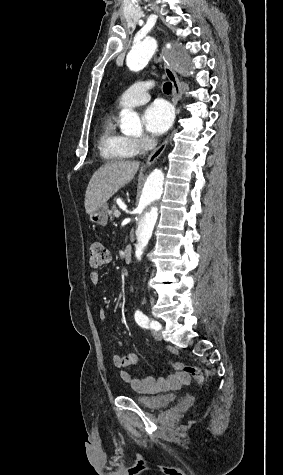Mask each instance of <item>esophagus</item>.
Wrapping results in <instances>:
<instances>
[{"label": "esophagus", "instance_id": "1", "mask_svg": "<svg viewBox=\"0 0 283 475\" xmlns=\"http://www.w3.org/2000/svg\"><path fill=\"white\" fill-rule=\"evenodd\" d=\"M164 67H165V74L167 78L170 80V82L172 83L173 103L176 104L182 96L181 85L176 73L174 72V70L172 69V67L167 61L164 62ZM168 141H169V137L149 155L146 161L147 166L152 165V163L156 162V160L163 153Z\"/></svg>", "mask_w": 283, "mask_h": 475}]
</instances>
